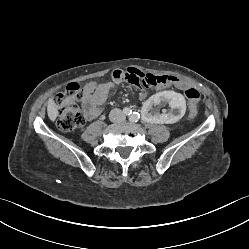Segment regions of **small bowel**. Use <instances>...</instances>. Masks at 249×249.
<instances>
[{
    "label": "small bowel",
    "mask_w": 249,
    "mask_h": 249,
    "mask_svg": "<svg viewBox=\"0 0 249 249\" xmlns=\"http://www.w3.org/2000/svg\"><path fill=\"white\" fill-rule=\"evenodd\" d=\"M144 73L137 67H127L125 70L116 69L111 74V80L101 83L88 82L84 86L82 109L87 120H93L101 114L103 106L115 85L129 82L137 89L140 98L146 96V89L142 86ZM185 110V109H184ZM183 115V114H182Z\"/></svg>",
    "instance_id": "1"
}]
</instances>
